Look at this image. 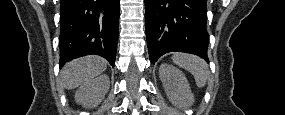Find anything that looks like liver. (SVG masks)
Listing matches in <instances>:
<instances>
[{
    "mask_svg": "<svg viewBox=\"0 0 285 115\" xmlns=\"http://www.w3.org/2000/svg\"><path fill=\"white\" fill-rule=\"evenodd\" d=\"M107 68V61L99 56H87L68 62L61 71L63 87L74 89L94 79Z\"/></svg>",
    "mask_w": 285,
    "mask_h": 115,
    "instance_id": "1",
    "label": "liver"
}]
</instances>
